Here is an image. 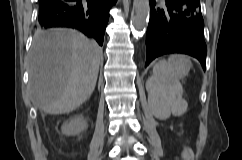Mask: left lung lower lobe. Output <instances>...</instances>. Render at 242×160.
<instances>
[{
	"mask_svg": "<svg viewBox=\"0 0 242 160\" xmlns=\"http://www.w3.org/2000/svg\"><path fill=\"white\" fill-rule=\"evenodd\" d=\"M203 28L200 0H162L159 7L150 0L145 66L158 56L184 53L197 58L205 69Z\"/></svg>",
	"mask_w": 242,
	"mask_h": 160,
	"instance_id": "obj_1",
	"label": "left lung lower lobe"
}]
</instances>
